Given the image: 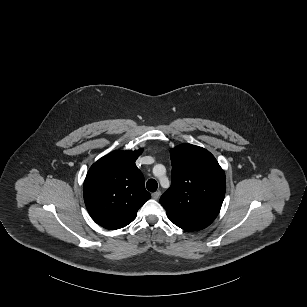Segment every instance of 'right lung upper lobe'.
Here are the masks:
<instances>
[{"mask_svg":"<svg viewBox=\"0 0 307 307\" xmlns=\"http://www.w3.org/2000/svg\"><path fill=\"white\" fill-rule=\"evenodd\" d=\"M142 153L113 151L89 169L84 182L86 208L99 225L119 229L131 223L139 208L151 195L144 186V176L135 165Z\"/></svg>","mask_w":307,"mask_h":307,"instance_id":"1","label":"right lung upper lobe"}]
</instances>
